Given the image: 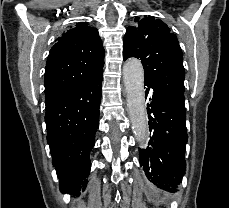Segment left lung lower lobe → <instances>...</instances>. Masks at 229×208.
<instances>
[{
  "label": "left lung lower lobe",
  "mask_w": 229,
  "mask_h": 208,
  "mask_svg": "<svg viewBox=\"0 0 229 208\" xmlns=\"http://www.w3.org/2000/svg\"><path fill=\"white\" fill-rule=\"evenodd\" d=\"M145 86V98L151 101L147 105V112L152 136L149 147L140 149L139 162L152 183L173 186L175 190L186 169L185 146L188 135L185 106L146 83Z\"/></svg>",
  "instance_id": "0a47b994"
}]
</instances>
